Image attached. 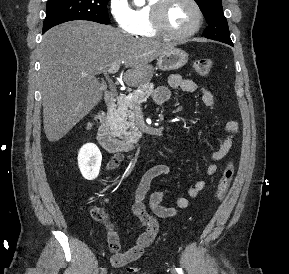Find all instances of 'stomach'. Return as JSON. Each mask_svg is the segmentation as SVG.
Here are the masks:
<instances>
[{"mask_svg": "<svg viewBox=\"0 0 289 274\" xmlns=\"http://www.w3.org/2000/svg\"><path fill=\"white\" fill-rule=\"evenodd\" d=\"M187 61L188 54L185 51L173 48L158 58L157 65L161 70L169 71L183 67Z\"/></svg>", "mask_w": 289, "mask_h": 274, "instance_id": "1", "label": "stomach"}]
</instances>
